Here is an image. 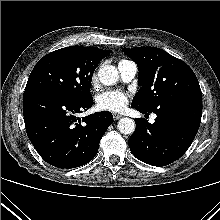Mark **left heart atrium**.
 Wrapping results in <instances>:
<instances>
[{
	"label": "left heart atrium",
	"instance_id": "39dd6f15",
	"mask_svg": "<svg viewBox=\"0 0 220 220\" xmlns=\"http://www.w3.org/2000/svg\"><path fill=\"white\" fill-rule=\"evenodd\" d=\"M127 95L119 90H109L98 96L97 104L100 109L121 111L127 105Z\"/></svg>",
	"mask_w": 220,
	"mask_h": 220
}]
</instances>
